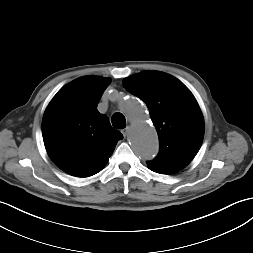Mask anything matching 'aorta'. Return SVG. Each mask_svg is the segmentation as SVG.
I'll return each mask as SVG.
<instances>
[{
	"instance_id": "obj_1",
	"label": "aorta",
	"mask_w": 253,
	"mask_h": 253,
	"mask_svg": "<svg viewBox=\"0 0 253 253\" xmlns=\"http://www.w3.org/2000/svg\"><path fill=\"white\" fill-rule=\"evenodd\" d=\"M121 109L131 119L130 142L143 160H151L158 153V139L154 127L148 123L145 109L133 98L120 102Z\"/></svg>"
}]
</instances>
